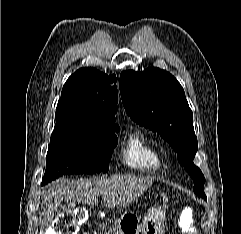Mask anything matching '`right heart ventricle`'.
Instances as JSON below:
<instances>
[{"instance_id":"e07e8e85","label":"right heart ventricle","mask_w":241,"mask_h":234,"mask_svg":"<svg viewBox=\"0 0 241 234\" xmlns=\"http://www.w3.org/2000/svg\"><path fill=\"white\" fill-rule=\"evenodd\" d=\"M120 159L125 167L141 173H155L162 167L158 147L150 137L138 131L125 138Z\"/></svg>"}]
</instances>
